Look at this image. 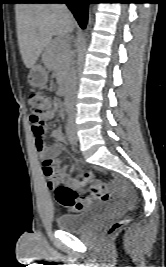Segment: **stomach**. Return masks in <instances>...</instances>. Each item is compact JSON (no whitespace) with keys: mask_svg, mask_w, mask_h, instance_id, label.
Segmentation results:
<instances>
[{"mask_svg":"<svg viewBox=\"0 0 166 267\" xmlns=\"http://www.w3.org/2000/svg\"><path fill=\"white\" fill-rule=\"evenodd\" d=\"M48 81V71L45 66L34 65L27 76V82L32 87H42Z\"/></svg>","mask_w":166,"mask_h":267,"instance_id":"obj_1","label":"stomach"}]
</instances>
